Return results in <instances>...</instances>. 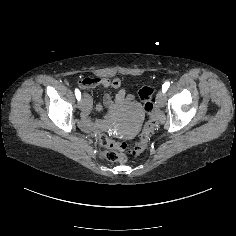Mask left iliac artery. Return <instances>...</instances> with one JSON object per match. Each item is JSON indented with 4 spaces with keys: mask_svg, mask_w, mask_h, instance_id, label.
<instances>
[{
    "mask_svg": "<svg viewBox=\"0 0 236 236\" xmlns=\"http://www.w3.org/2000/svg\"><path fill=\"white\" fill-rule=\"evenodd\" d=\"M169 86H170V82H165L162 85V91L165 93L167 91V89L169 88Z\"/></svg>",
    "mask_w": 236,
    "mask_h": 236,
    "instance_id": "left-iliac-artery-1",
    "label": "left iliac artery"
}]
</instances>
